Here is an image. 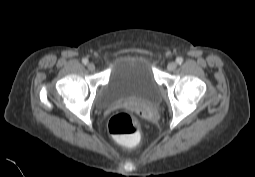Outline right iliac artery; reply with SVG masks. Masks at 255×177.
<instances>
[{"mask_svg":"<svg viewBox=\"0 0 255 177\" xmlns=\"http://www.w3.org/2000/svg\"><path fill=\"white\" fill-rule=\"evenodd\" d=\"M82 62H83V64H88V59L87 58H84L83 60H82Z\"/></svg>","mask_w":255,"mask_h":177,"instance_id":"1","label":"right iliac artery"}]
</instances>
